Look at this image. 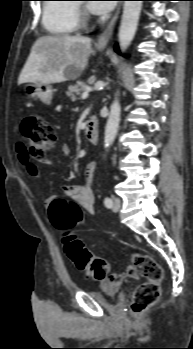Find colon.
Masks as SVG:
<instances>
[{
	"instance_id": "colon-1",
	"label": "colon",
	"mask_w": 193,
	"mask_h": 349,
	"mask_svg": "<svg viewBox=\"0 0 193 349\" xmlns=\"http://www.w3.org/2000/svg\"><path fill=\"white\" fill-rule=\"evenodd\" d=\"M24 141L21 143L29 158L42 160L56 144L54 128L38 114L27 115L21 124ZM50 222L62 233L64 249L75 267L92 280H104L110 271L109 263L90 252L76 235L82 211L74 202L58 198L49 206ZM131 262L145 281L136 289L131 308L139 314L154 305L160 297L163 269L150 255L134 253Z\"/></svg>"
}]
</instances>
